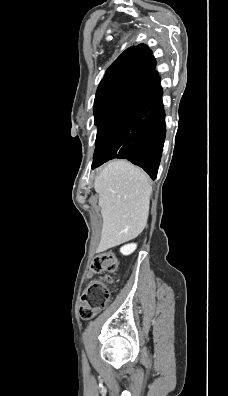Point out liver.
<instances>
[{"label":"liver","instance_id":"1","mask_svg":"<svg viewBox=\"0 0 228 396\" xmlns=\"http://www.w3.org/2000/svg\"><path fill=\"white\" fill-rule=\"evenodd\" d=\"M94 189L103 218L98 252L130 241L144 230L152 187L140 168L114 160L96 176Z\"/></svg>","mask_w":228,"mask_h":396}]
</instances>
